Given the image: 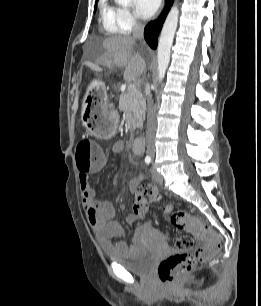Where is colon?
Wrapping results in <instances>:
<instances>
[{
	"instance_id": "1",
	"label": "colon",
	"mask_w": 261,
	"mask_h": 306,
	"mask_svg": "<svg viewBox=\"0 0 261 306\" xmlns=\"http://www.w3.org/2000/svg\"><path fill=\"white\" fill-rule=\"evenodd\" d=\"M98 135L103 139H109L113 135L110 125L96 127ZM104 160L103 151L89 140H82L76 147V163L81 171H87ZM155 187L151 184L139 186L134 204V213L137 216H145L149 210V204L158 199ZM171 224L183 229L187 234L176 238L177 252L163 259L158 266V275L163 283L172 284L181 276L192 271L198 263L205 262L220 248V237L209 226L198 218L185 211L174 210L170 206H164ZM202 241L194 252H190L195 246V240Z\"/></svg>"
}]
</instances>
